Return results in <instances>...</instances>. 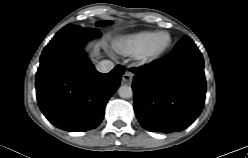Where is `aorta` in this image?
I'll use <instances>...</instances> for the list:
<instances>
[{
  "label": "aorta",
  "mask_w": 248,
  "mask_h": 158,
  "mask_svg": "<svg viewBox=\"0 0 248 158\" xmlns=\"http://www.w3.org/2000/svg\"><path fill=\"white\" fill-rule=\"evenodd\" d=\"M118 94L121 98H131L133 96V90L128 85H122L118 89Z\"/></svg>",
  "instance_id": "aorta-1"
}]
</instances>
